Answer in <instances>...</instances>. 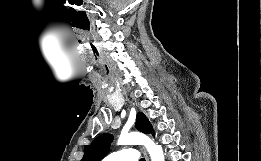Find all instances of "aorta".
<instances>
[{
  "mask_svg": "<svg viewBox=\"0 0 261 161\" xmlns=\"http://www.w3.org/2000/svg\"><path fill=\"white\" fill-rule=\"evenodd\" d=\"M119 145H144L150 155L151 161H164V154L161 145H157L148 136L131 132L121 134L118 139Z\"/></svg>",
  "mask_w": 261,
  "mask_h": 161,
  "instance_id": "obj_1",
  "label": "aorta"
}]
</instances>
